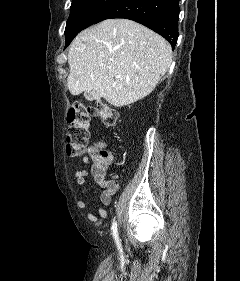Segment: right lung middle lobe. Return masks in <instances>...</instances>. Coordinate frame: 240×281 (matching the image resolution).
<instances>
[{
    "label": "right lung middle lobe",
    "mask_w": 240,
    "mask_h": 281,
    "mask_svg": "<svg viewBox=\"0 0 240 281\" xmlns=\"http://www.w3.org/2000/svg\"><path fill=\"white\" fill-rule=\"evenodd\" d=\"M116 0H73L70 16L65 29L66 46L86 27L94 24L97 18Z\"/></svg>",
    "instance_id": "obj_1"
}]
</instances>
